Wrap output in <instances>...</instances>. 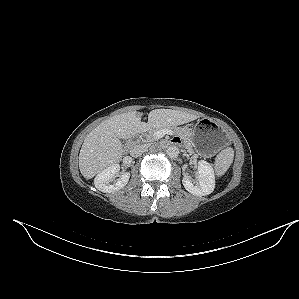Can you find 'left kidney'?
Instances as JSON below:
<instances>
[{"instance_id":"5707ae66","label":"left kidney","mask_w":299,"mask_h":299,"mask_svg":"<svg viewBox=\"0 0 299 299\" xmlns=\"http://www.w3.org/2000/svg\"><path fill=\"white\" fill-rule=\"evenodd\" d=\"M184 188L195 196L211 194L215 188V175L210 163L200 160L198 162V174L194 181L191 176L185 174L182 179Z\"/></svg>"}]
</instances>
